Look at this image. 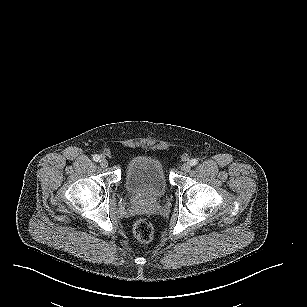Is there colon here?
Wrapping results in <instances>:
<instances>
[{
  "label": "colon",
  "mask_w": 307,
  "mask_h": 307,
  "mask_svg": "<svg viewBox=\"0 0 307 307\" xmlns=\"http://www.w3.org/2000/svg\"><path fill=\"white\" fill-rule=\"evenodd\" d=\"M134 237L143 243H149L154 236V229L152 223L147 219H138L133 224Z\"/></svg>",
  "instance_id": "1"
}]
</instances>
